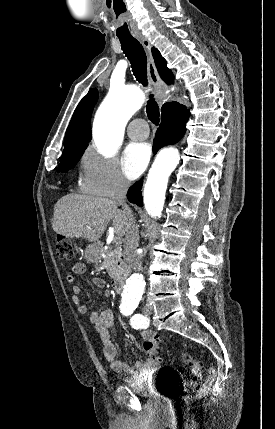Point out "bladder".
<instances>
[{
	"instance_id": "1",
	"label": "bladder",
	"mask_w": 275,
	"mask_h": 429,
	"mask_svg": "<svg viewBox=\"0 0 275 429\" xmlns=\"http://www.w3.org/2000/svg\"><path fill=\"white\" fill-rule=\"evenodd\" d=\"M177 377L130 378V392L137 398H148L149 403H178L180 389Z\"/></svg>"
}]
</instances>
